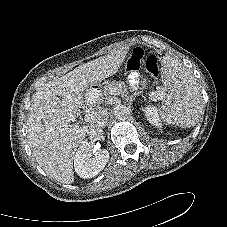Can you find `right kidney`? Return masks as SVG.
<instances>
[{
    "instance_id": "right-kidney-1",
    "label": "right kidney",
    "mask_w": 227,
    "mask_h": 227,
    "mask_svg": "<svg viewBox=\"0 0 227 227\" xmlns=\"http://www.w3.org/2000/svg\"><path fill=\"white\" fill-rule=\"evenodd\" d=\"M108 160L109 152L106 149H94L92 142L84 141L75 154L74 168L81 178H92L104 169Z\"/></svg>"
}]
</instances>
